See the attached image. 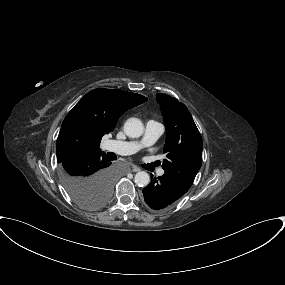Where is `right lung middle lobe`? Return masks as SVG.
<instances>
[{
    "instance_id": "obj_1",
    "label": "right lung middle lobe",
    "mask_w": 285,
    "mask_h": 285,
    "mask_svg": "<svg viewBox=\"0 0 285 285\" xmlns=\"http://www.w3.org/2000/svg\"><path fill=\"white\" fill-rule=\"evenodd\" d=\"M59 173L66 191L78 205L96 209L110 199L114 176L81 177L71 165L65 167L62 163L59 164Z\"/></svg>"
}]
</instances>
